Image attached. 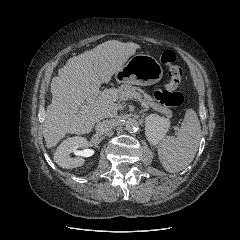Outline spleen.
I'll return each mask as SVG.
<instances>
[{"instance_id": "1", "label": "spleen", "mask_w": 240, "mask_h": 240, "mask_svg": "<svg viewBox=\"0 0 240 240\" xmlns=\"http://www.w3.org/2000/svg\"><path fill=\"white\" fill-rule=\"evenodd\" d=\"M201 139V125L196 112L188 109L176 137H164L158 146V156L166 171L185 169L194 159Z\"/></svg>"}]
</instances>
